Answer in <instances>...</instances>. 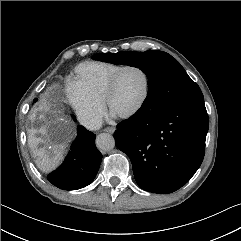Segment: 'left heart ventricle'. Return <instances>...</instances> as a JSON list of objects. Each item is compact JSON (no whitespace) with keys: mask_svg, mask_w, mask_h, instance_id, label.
<instances>
[{"mask_svg":"<svg viewBox=\"0 0 241 241\" xmlns=\"http://www.w3.org/2000/svg\"><path fill=\"white\" fill-rule=\"evenodd\" d=\"M144 86V75L139 70H125L120 75L111 97V111L121 115L133 109L142 97Z\"/></svg>","mask_w":241,"mask_h":241,"instance_id":"b2bd125f","label":"left heart ventricle"}]
</instances>
